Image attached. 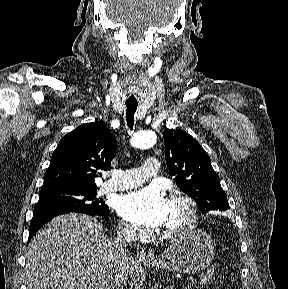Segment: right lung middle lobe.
<instances>
[{"instance_id": "dd1d6c3e", "label": "right lung middle lobe", "mask_w": 288, "mask_h": 289, "mask_svg": "<svg viewBox=\"0 0 288 289\" xmlns=\"http://www.w3.org/2000/svg\"><path fill=\"white\" fill-rule=\"evenodd\" d=\"M96 194L97 186L42 188L34 213L62 210L94 215L108 208L102 199L96 198Z\"/></svg>"}]
</instances>
